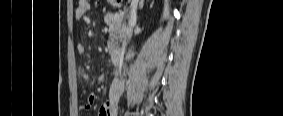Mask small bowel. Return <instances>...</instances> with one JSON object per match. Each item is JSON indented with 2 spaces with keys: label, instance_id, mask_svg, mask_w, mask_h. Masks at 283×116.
I'll return each instance as SVG.
<instances>
[{
  "label": "small bowel",
  "instance_id": "c3829d8e",
  "mask_svg": "<svg viewBox=\"0 0 283 116\" xmlns=\"http://www.w3.org/2000/svg\"><path fill=\"white\" fill-rule=\"evenodd\" d=\"M90 1L79 0L78 6L75 9L74 15L76 19H83L89 10ZM76 50L79 54L83 55L85 53V47L82 44L76 46ZM97 96L94 93H89L86 99V103L82 106V109H90L96 102ZM99 116H115L116 108L115 103L112 99H107L99 109Z\"/></svg>",
  "mask_w": 283,
  "mask_h": 116
}]
</instances>
